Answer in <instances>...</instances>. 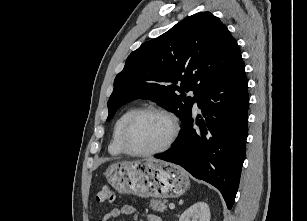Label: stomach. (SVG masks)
Listing matches in <instances>:
<instances>
[{"label": "stomach", "mask_w": 307, "mask_h": 221, "mask_svg": "<svg viewBox=\"0 0 307 221\" xmlns=\"http://www.w3.org/2000/svg\"><path fill=\"white\" fill-rule=\"evenodd\" d=\"M105 176L119 193L143 198L179 197L190 184L187 174L181 167L155 159L111 164Z\"/></svg>", "instance_id": "stomach-1"}]
</instances>
